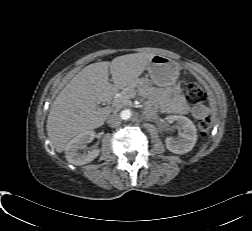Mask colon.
<instances>
[{"mask_svg":"<svg viewBox=\"0 0 252 231\" xmlns=\"http://www.w3.org/2000/svg\"><path fill=\"white\" fill-rule=\"evenodd\" d=\"M186 99L191 105H198L205 102L203 90L195 84H191L186 89ZM198 129L202 135L209 133L211 129V120L209 117L202 118L198 121Z\"/></svg>","mask_w":252,"mask_h":231,"instance_id":"5ec220e1","label":"colon"}]
</instances>
